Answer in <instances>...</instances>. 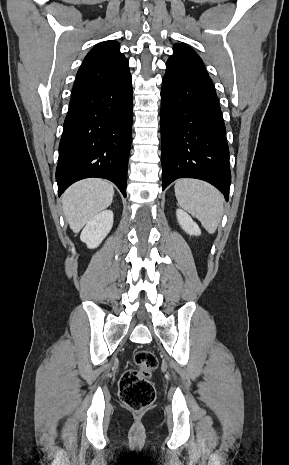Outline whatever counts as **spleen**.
I'll use <instances>...</instances> for the list:
<instances>
[{
	"mask_svg": "<svg viewBox=\"0 0 289 465\" xmlns=\"http://www.w3.org/2000/svg\"><path fill=\"white\" fill-rule=\"evenodd\" d=\"M174 189L179 205L213 234L223 215L222 194L209 183L197 179H179Z\"/></svg>",
	"mask_w": 289,
	"mask_h": 465,
	"instance_id": "obj_1",
	"label": "spleen"
}]
</instances>
